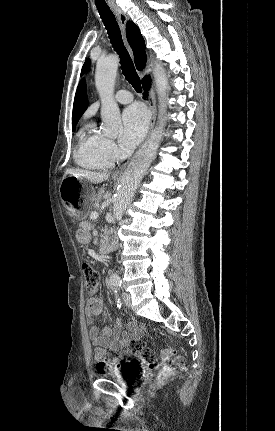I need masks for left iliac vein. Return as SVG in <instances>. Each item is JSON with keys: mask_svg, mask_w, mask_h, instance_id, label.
I'll list each match as a JSON object with an SVG mask.
<instances>
[{"mask_svg": "<svg viewBox=\"0 0 275 431\" xmlns=\"http://www.w3.org/2000/svg\"><path fill=\"white\" fill-rule=\"evenodd\" d=\"M122 298H123V302H124L125 306L130 308L131 307V295L127 292H124L122 294Z\"/></svg>", "mask_w": 275, "mask_h": 431, "instance_id": "obj_1", "label": "left iliac vein"}]
</instances>
